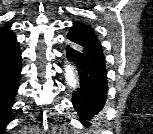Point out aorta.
<instances>
[{
    "label": "aorta",
    "mask_w": 153,
    "mask_h": 134,
    "mask_svg": "<svg viewBox=\"0 0 153 134\" xmlns=\"http://www.w3.org/2000/svg\"><path fill=\"white\" fill-rule=\"evenodd\" d=\"M65 78L70 88L76 89L78 87V80L71 64H67L65 67Z\"/></svg>",
    "instance_id": "762f6f07"
}]
</instances>
